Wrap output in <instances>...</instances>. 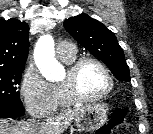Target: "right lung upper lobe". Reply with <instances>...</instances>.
<instances>
[{
  "mask_svg": "<svg viewBox=\"0 0 153 134\" xmlns=\"http://www.w3.org/2000/svg\"><path fill=\"white\" fill-rule=\"evenodd\" d=\"M28 50V24L14 18L0 19V68L25 67Z\"/></svg>",
  "mask_w": 153,
  "mask_h": 134,
  "instance_id": "1",
  "label": "right lung upper lobe"
}]
</instances>
